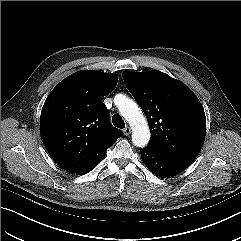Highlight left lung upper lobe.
I'll return each mask as SVG.
<instances>
[{"label":"left lung upper lobe","mask_w":241,"mask_h":241,"mask_svg":"<svg viewBox=\"0 0 241 241\" xmlns=\"http://www.w3.org/2000/svg\"><path fill=\"white\" fill-rule=\"evenodd\" d=\"M123 79L147 118L151 132L147 147L193 161L202 148L206 132L204 109L194 93L157 70L125 71Z\"/></svg>","instance_id":"left-lung-upper-lobe-1"}]
</instances>
